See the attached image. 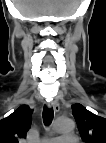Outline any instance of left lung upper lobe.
Returning a JSON list of instances; mask_svg holds the SVG:
<instances>
[{"mask_svg":"<svg viewBox=\"0 0 106 143\" xmlns=\"http://www.w3.org/2000/svg\"><path fill=\"white\" fill-rule=\"evenodd\" d=\"M81 138L87 143H106V119L88 111L83 105H72Z\"/></svg>","mask_w":106,"mask_h":143,"instance_id":"5c2ea615","label":"left lung upper lobe"}]
</instances>
